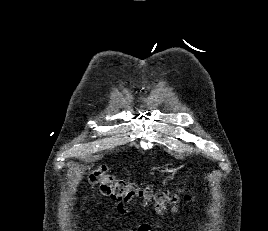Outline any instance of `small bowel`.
Wrapping results in <instances>:
<instances>
[{
    "instance_id": "1",
    "label": "small bowel",
    "mask_w": 268,
    "mask_h": 231,
    "mask_svg": "<svg viewBox=\"0 0 268 231\" xmlns=\"http://www.w3.org/2000/svg\"><path fill=\"white\" fill-rule=\"evenodd\" d=\"M118 208V211L120 214L124 215V214H128L130 213L131 211L130 210H127L125 208H122L121 206H117ZM150 225L146 222H142L139 226V229L138 231H150Z\"/></svg>"
}]
</instances>
